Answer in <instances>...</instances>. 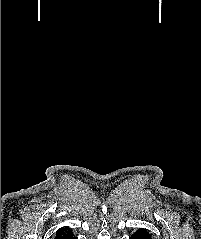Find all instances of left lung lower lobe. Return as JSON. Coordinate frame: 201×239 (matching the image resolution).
<instances>
[{
    "mask_svg": "<svg viewBox=\"0 0 201 239\" xmlns=\"http://www.w3.org/2000/svg\"><path fill=\"white\" fill-rule=\"evenodd\" d=\"M129 239H152L146 229H138Z\"/></svg>",
    "mask_w": 201,
    "mask_h": 239,
    "instance_id": "1",
    "label": "left lung lower lobe"
}]
</instances>
